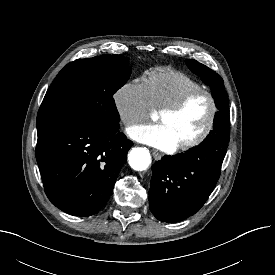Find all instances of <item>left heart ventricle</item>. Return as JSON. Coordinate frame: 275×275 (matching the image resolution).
<instances>
[{
  "label": "left heart ventricle",
  "mask_w": 275,
  "mask_h": 275,
  "mask_svg": "<svg viewBox=\"0 0 275 275\" xmlns=\"http://www.w3.org/2000/svg\"><path fill=\"white\" fill-rule=\"evenodd\" d=\"M210 103L205 95L193 98L180 112L158 114L157 120L168 127L177 143L188 141L197 136L206 125Z\"/></svg>",
  "instance_id": "b2bd125f"
}]
</instances>
